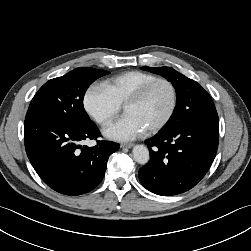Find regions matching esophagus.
Masks as SVG:
<instances>
[{
  "instance_id": "34e87169",
  "label": "esophagus",
  "mask_w": 251,
  "mask_h": 251,
  "mask_svg": "<svg viewBox=\"0 0 251 251\" xmlns=\"http://www.w3.org/2000/svg\"><path fill=\"white\" fill-rule=\"evenodd\" d=\"M120 147L121 148H131V147H133V144L132 143H122V144H120Z\"/></svg>"
}]
</instances>
